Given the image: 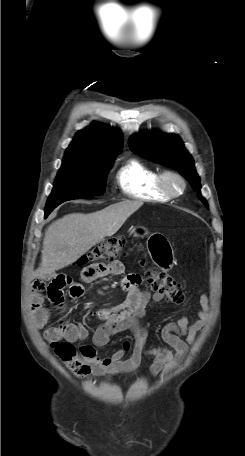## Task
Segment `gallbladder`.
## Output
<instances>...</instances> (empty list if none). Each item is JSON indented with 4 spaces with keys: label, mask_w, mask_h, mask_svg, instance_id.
<instances>
[{
    "label": "gallbladder",
    "mask_w": 245,
    "mask_h": 456,
    "mask_svg": "<svg viewBox=\"0 0 245 456\" xmlns=\"http://www.w3.org/2000/svg\"><path fill=\"white\" fill-rule=\"evenodd\" d=\"M52 277H54V275H49V276L47 277V279L50 280Z\"/></svg>",
    "instance_id": "gallbladder-1"
}]
</instances>
